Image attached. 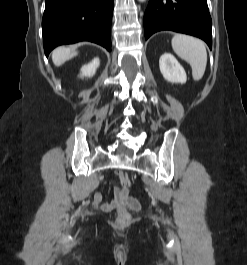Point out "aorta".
I'll return each mask as SVG.
<instances>
[{
	"label": "aorta",
	"instance_id": "aorta-1",
	"mask_svg": "<svg viewBox=\"0 0 247 265\" xmlns=\"http://www.w3.org/2000/svg\"><path fill=\"white\" fill-rule=\"evenodd\" d=\"M140 2H144L145 0H139Z\"/></svg>",
	"mask_w": 247,
	"mask_h": 265
}]
</instances>
